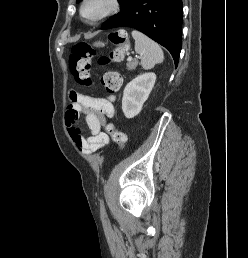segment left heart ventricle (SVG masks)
<instances>
[{
	"label": "left heart ventricle",
	"instance_id": "b2bd125f",
	"mask_svg": "<svg viewBox=\"0 0 248 258\" xmlns=\"http://www.w3.org/2000/svg\"><path fill=\"white\" fill-rule=\"evenodd\" d=\"M108 0H91L86 7V15L95 17L100 14L108 5Z\"/></svg>",
	"mask_w": 248,
	"mask_h": 258
}]
</instances>
